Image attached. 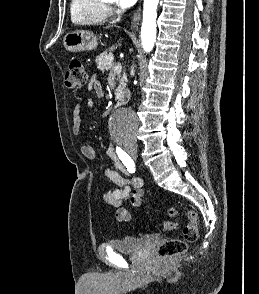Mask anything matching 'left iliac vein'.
Returning <instances> with one entry per match:
<instances>
[{
  "mask_svg": "<svg viewBox=\"0 0 259 294\" xmlns=\"http://www.w3.org/2000/svg\"><path fill=\"white\" fill-rule=\"evenodd\" d=\"M133 158L136 160L137 156H133Z\"/></svg>",
  "mask_w": 259,
  "mask_h": 294,
  "instance_id": "obj_1",
  "label": "left iliac vein"
}]
</instances>
